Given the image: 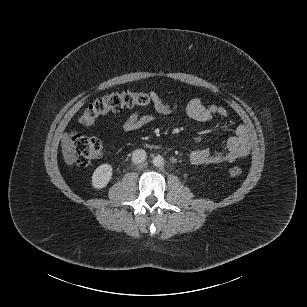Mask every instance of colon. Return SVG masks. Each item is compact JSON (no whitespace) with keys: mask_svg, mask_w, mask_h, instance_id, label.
<instances>
[{"mask_svg":"<svg viewBox=\"0 0 307 307\" xmlns=\"http://www.w3.org/2000/svg\"><path fill=\"white\" fill-rule=\"evenodd\" d=\"M151 104H155V102L147 92L125 90L112 93L100 97L89 104L82 111L79 123L85 127H90L96 123L100 116L110 111H119L132 107H147ZM70 139L75 147L76 162L80 166L92 164L103 154L104 145L95 137L85 136L75 131L71 133ZM229 174L233 177H238L242 174V169L239 166H233L229 168Z\"/></svg>","mask_w":307,"mask_h":307,"instance_id":"1","label":"colon"}]
</instances>
